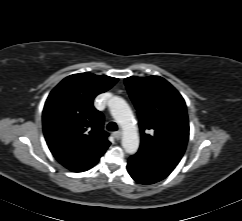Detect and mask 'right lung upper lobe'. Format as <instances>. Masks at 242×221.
Listing matches in <instances>:
<instances>
[{
    "label": "right lung upper lobe",
    "instance_id": "cb5924a9",
    "mask_svg": "<svg viewBox=\"0 0 242 221\" xmlns=\"http://www.w3.org/2000/svg\"><path fill=\"white\" fill-rule=\"evenodd\" d=\"M117 81L105 75L74 74L48 96L42 116L44 136L54 157L67 169H90L109 147L103 114L94 108L93 100Z\"/></svg>",
    "mask_w": 242,
    "mask_h": 221
}]
</instances>
